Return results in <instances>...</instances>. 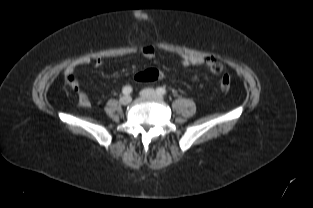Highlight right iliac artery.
Masks as SVG:
<instances>
[{"label": "right iliac artery", "mask_w": 313, "mask_h": 208, "mask_svg": "<svg viewBox=\"0 0 313 208\" xmlns=\"http://www.w3.org/2000/svg\"><path fill=\"white\" fill-rule=\"evenodd\" d=\"M131 92H132V87H131V86H125V87L122 89V93H123L124 95H129Z\"/></svg>", "instance_id": "obj_1"}]
</instances>
